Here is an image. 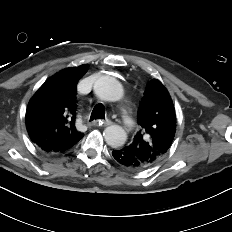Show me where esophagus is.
Returning <instances> with one entry per match:
<instances>
[{
    "mask_svg": "<svg viewBox=\"0 0 232 232\" xmlns=\"http://www.w3.org/2000/svg\"><path fill=\"white\" fill-rule=\"evenodd\" d=\"M112 122L110 120H96V121H93L92 122V125L93 126H108V125H111Z\"/></svg>",
    "mask_w": 232,
    "mask_h": 232,
    "instance_id": "1",
    "label": "esophagus"
}]
</instances>
